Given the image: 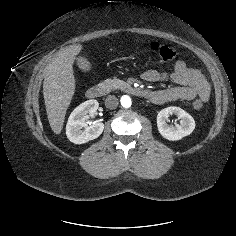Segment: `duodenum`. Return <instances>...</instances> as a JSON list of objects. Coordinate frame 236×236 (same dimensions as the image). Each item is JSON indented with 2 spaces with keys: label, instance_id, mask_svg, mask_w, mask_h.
<instances>
[{
  "label": "duodenum",
  "instance_id": "duodenum-1",
  "mask_svg": "<svg viewBox=\"0 0 236 236\" xmlns=\"http://www.w3.org/2000/svg\"><path fill=\"white\" fill-rule=\"evenodd\" d=\"M130 93L140 96V97H148L149 96V91L135 87V86H127L126 88ZM105 92V87L103 85H95L87 89L86 91V97L88 99H97L101 97Z\"/></svg>",
  "mask_w": 236,
  "mask_h": 236
}]
</instances>
